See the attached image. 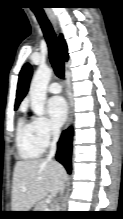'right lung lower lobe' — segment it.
I'll list each match as a JSON object with an SVG mask.
<instances>
[{
  "mask_svg": "<svg viewBox=\"0 0 123 219\" xmlns=\"http://www.w3.org/2000/svg\"><path fill=\"white\" fill-rule=\"evenodd\" d=\"M72 137V127H69L67 130L63 131L58 142V149L56 153L57 161H59L66 168L68 173L71 172Z\"/></svg>",
  "mask_w": 123,
  "mask_h": 219,
  "instance_id": "98d812e1",
  "label": "right lung lower lobe"
}]
</instances>
